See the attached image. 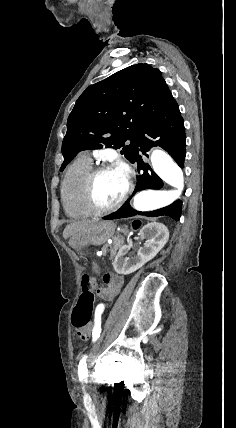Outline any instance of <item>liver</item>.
<instances>
[{
    "mask_svg": "<svg viewBox=\"0 0 236 428\" xmlns=\"http://www.w3.org/2000/svg\"><path fill=\"white\" fill-rule=\"evenodd\" d=\"M86 224H91V220H83V222H73L68 224L63 232V238H75L80 234Z\"/></svg>",
    "mask_w": 236,
    "mask_h": 428,
    "instance_id": "liver-1",
    "label": "liver"
}]
</instances>
